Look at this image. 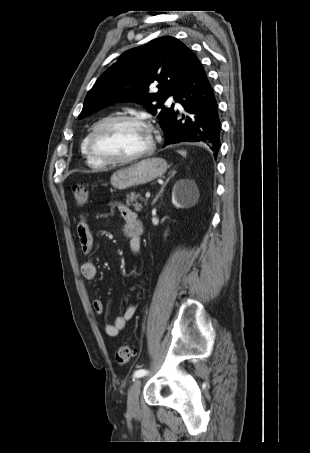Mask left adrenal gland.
Returning a JSON list of instances; mask_svg holds the SVG:
<instances>
[{"mask_svg": "<svg viewBox=\"0 0 310 453\" xmlns=\"http://www.w3.org/2000/svg\"><path fill=\"white\" fill-rule=\"evenodd\" d=\"M176 171L175 170H172L169 172V177L167 178L166 182L164 183V185L162 186L161 190L159 191V193L156 195V197L154 198V200L152 201V205H154L156 203V201L158 200V198L161 196L163 190H164V187L167 185V183L169 182L170 178L173 177L175 175Z\"/></svg>", "mask_w": 310, "mask_h": 453, "instance_id": "obj_1", "label": "left adrenal gland"}]
</instances>
